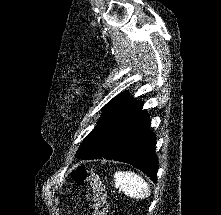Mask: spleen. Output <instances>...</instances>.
I'll return each mask as SVG.
<instances>
[{"label":"spleen","mask_w":221,"mask_h":215,"mask_svg":"<svg viewBox=\"0 0 221 215\" xmlns=\"http://www.w3.org/2000/svg\"><path fill=\"white\" fill-rule=\"evenodd\" d=\"M115 186L121 188L126 195L143 199L149 195L147 182L138 174L130 171H116L114 174Z\"/></svg>","instance_id":"3e777b00"}]
</instances>
